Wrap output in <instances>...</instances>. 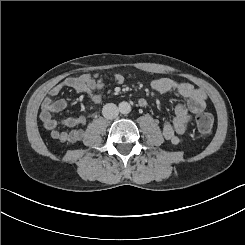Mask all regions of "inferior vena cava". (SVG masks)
<instances>
[{
  "mask_svg": "<svg viewBox=\"0 0 245 245\" xmlns=\"http://www.w3.org/2000/svg\"><path fill=\"white\" fill-rule=\"evenodd\" d=\"M118 113H119L118 108L113 103H107L103 106L102 115L106 119H114L118 116Z\"/></svg>",
  "mask_w": 245,
  "mask_h": 245,
  "instance_id": "1",
  "label": "inferior vena cava"
}]
</instances>
